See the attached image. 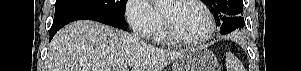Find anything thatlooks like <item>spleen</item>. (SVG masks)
Masks as SVG:
<instances>
[{
  "instance_id": "1",
  "label": "spleen",
  "mask_w": 301,
  "mask_h": 71,
  "mask_svg": "<svg viewBox=\"0 0 301 71\" xmlns=\"http://www.w3.org/2000/svg\"><path fill=\"white\" fill-rule=\"evenodd\" d=\"M227 71H244L240 61L230 52L226 54Z\"/></svg>"
}]
</instances>
